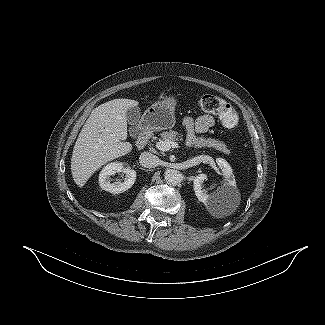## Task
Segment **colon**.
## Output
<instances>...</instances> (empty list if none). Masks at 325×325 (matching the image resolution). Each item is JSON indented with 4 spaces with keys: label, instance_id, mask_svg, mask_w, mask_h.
<instances>
[{
    "label": "colon",
    "instance_id": "1",
    "mask_svg": "<svg viewBox=\"0 0 325 325\" xmlns=\"http://www.w3.org/2000/svg\"><path fill=\"white\" fill-rule=\"evenodd\" d=\"M198 106L203 111L215 114L225 128L234 129L239 124V116L236 110L216 95L207 94L200 97Z\"/></svg>",
    "mask_w": 325,
    "mask_h": 325
}]
</instances>
